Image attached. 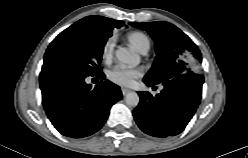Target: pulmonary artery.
Wrapping results in <instances>:
<instances>
[{"label":"pulmonary artery","mask_w":248,"mask_h":158,"mask_svg":"<svg viewBox=\"0 0 248 158\" xmlns=\"http://www.w3.org/2000/svg\"><path fill=\"white\" fill-rule=\"evenodd\" d=\"M148 48H146V49H144L141 53H143V54H145V53H147L148 52Z\"/></svg>","instance_id":"e3ab8cb5"}]
</instances>
